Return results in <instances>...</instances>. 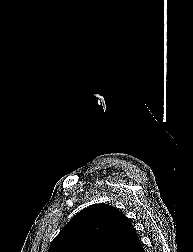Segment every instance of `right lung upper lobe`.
<instances>
[{
    "mask_svg": "<svg viewBox=\"0 0 193 252\" xmlns=\"http://www.w3.org/2000/svg\"><path fill=\"white\" fill-rule=\"evenodd\" d=\"M139 244L129 219L115 207L99 203L77 213L48 252H133Z\"/></svg>",
    "mask_w": 193,
    "mask_h": 252,
    "instance_id": "obj_1",
    "label": "right lung upper lobe"
}]
</instances>
